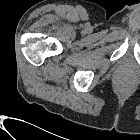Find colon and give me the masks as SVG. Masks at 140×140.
Listing matches in <instances>:
<instances>
[{
  "mask_svg": "<svg viewBox=\"0 0 140 140\" xmlns=\"http://www.w3.org/2000/svg\"><path fill=\"white\" fill-rule=\"evenodd\" d=\"M126 86H127V83H126V82H121V83H120V87H121V88H124V87H126Z\"/></svg>",
  "mask_w": 140,
  "mask_h": 140,
  "instance_id": "1",
  "label": "colon"
}]
</instances>
